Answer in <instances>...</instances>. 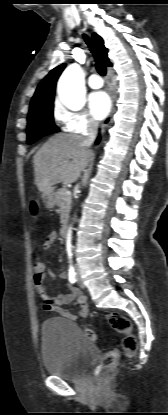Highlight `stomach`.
Wrapping results in <instances>:
<instances>
[{"mask_svg":"<svg viewBox=\"0 0 168 415\" xmlns=\"http://www.w3.org/2000/svg\"><path fill=\"white\" fill-rule=\"evenodd\" d=\"M42 200L46 208H53L55 201L53 192L51 190H47L42 193Z\"/></svg>","mask_w":168,"mask_h":415,"instance_id":"stomach-1","label":"stomach"}]
</instances>
